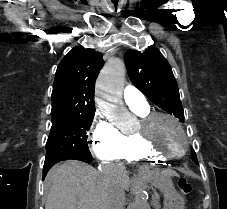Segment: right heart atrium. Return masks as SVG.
Here are the masks:
<instances>
[{
	"label": "right heart atrium",
	"instance_id": "1",
	"mask_svg": "<svg viewBox=\"0 0 227 209\" xmlns=\"http://www.w3.org/2000/svg\"><path fill=\"white\" fill-rule=\"evenodd\" d=\"M92 153L102 160H116L123 147V133L111 122L98 118L91 131Z\"/></svg>",
	"mask_w": 227,
	"mask_h": 209
}]
</instances>
